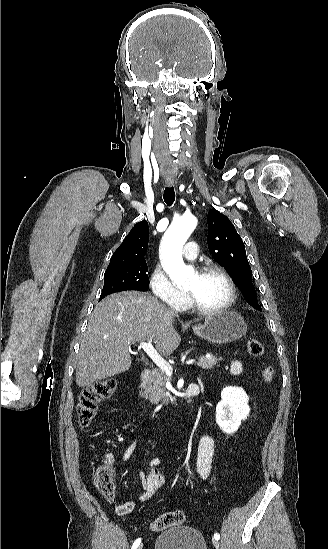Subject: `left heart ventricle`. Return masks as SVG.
Returning a JSON list of instances; mask_svg holds the SVG:
<instances>
[{"mask_svg": "<svg viewBox=\"0 0 328 549\" xmlns=\"http://www.w3.org/2000/svg\"><path fill=\"white\" fill-rule=\"evenodd\" d=\"M204 308L211 309L223 304L229 295L226 279L217 271L198 275L193 271L183 287Z\"/></svg>", "mask_w": 328, "mask_h": 549, "instance_id": "1", "label": "left heart ventricle"}]
</instances>
